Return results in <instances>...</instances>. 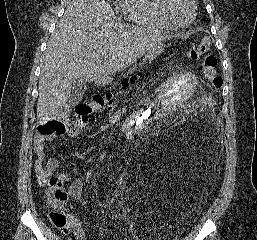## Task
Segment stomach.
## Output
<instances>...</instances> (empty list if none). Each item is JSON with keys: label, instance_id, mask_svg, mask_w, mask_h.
<instances>
[{"label": "stomach", "instance_id": "stomach-1", "mask_svg": "<svg viewBox=\"0 0 257 240\" xmlns=\"http://www.w3.org/2000/svg\"><path fill=\"white\" fill-rule=\"evenodd\" d=\"M166 45L159 43L151 48L144 57V61H152L165 51Z\"/></svg>", "mask_w": 257, "mask_h": 240}]
</instances>
